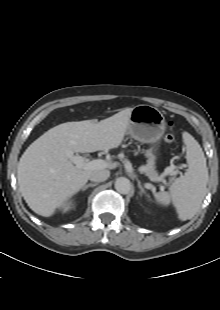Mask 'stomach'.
I'll list each match as a JSON object with an SVG mask.
<instances>
[{"mask_svg": "<svg viewBox=\"0 0 220 310\" xmlns=\"http://www.w3.org/2000/svg\"><path fill=\"white\" fill-rule=\"evenodd\" d=\"M165 129V117L158 108L151 105H137L132 108L127 132L135 140L154 145L146 151L149 161L156 158L157 145Z\"/></svg>", "mask_w": 220, "mask_h": 310, "instance_id": "stomach-1", "label": "stomach"}]
</instances>
